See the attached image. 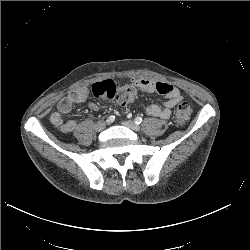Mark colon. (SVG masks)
<instances>
[{"label": "colon", "instance_id": "obj_1", "mask_svg": "<svg viewBox=\"0 0 250 250\" xmlns=\"http://www.w3.org/2000/svg\"><path fill=\"white\" fill-rule=\"evenodd\" d=\"M91 92L99 100H116L120 107L127 108L135 98V91L129 87H119L113 80H104L92 85ZM192 116V108L187 102L180 103L174 112V121L178 126L186 125Z\"/></svg>", "mask_w": 250, "mask_h": 250}]
</instances>
